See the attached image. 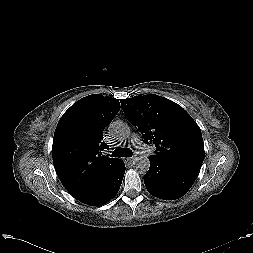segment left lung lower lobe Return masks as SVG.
Here are the masks:
<instances>
[{
	"mask_svg": "<svg viewBox=\"0 0 253 253\" xmlns=\"http://www.w3.org/2000/svg\"><path fill=\"white\" fill-rule=\"evenodd\" d=\"M150 167L144 183L155 197L175 200L187 193L195 182L202 162L184 158L149 157Z\"/></svg>",
	"mask_w": 253,
	"mask_h": 253,
	"instance_id": "1",
	"label": "left lung lower lobe"
}]
</instances>
